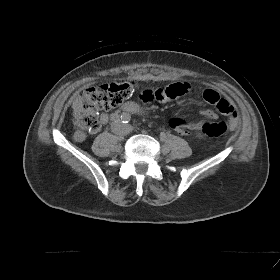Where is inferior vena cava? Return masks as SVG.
<instances>
[{
  "label": "inferior vena cava",
  "mask_w": 280,
  "mask_h": 280,
  "mask_svg": "<svg viewBox=\"0 0 280 280\" xmlns=\"http://www.w3.org/2000/svg\"><path fill=\"white\" fill-rule=\"evenodd\" d=\"M118 126L123 127V125H120V124H116V123L112 124L111 129H112L113 133L119 134V135H125L128 133V130H126L125 128H119Z\"/></svg>",
  "instance_id": "inferior-vena-cava-1"
}]
</instances>
